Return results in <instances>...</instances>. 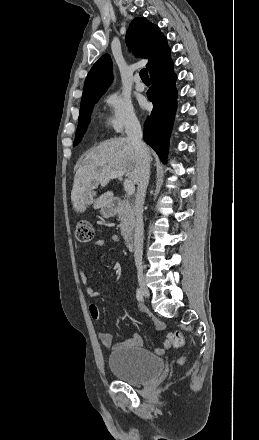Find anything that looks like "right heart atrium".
<instances>
[{
  "label": "right heart atrium",
  "instance_id": "1",
  "mask_svg": "<svg viewBox=\"0 0 259 440\" xmlns=\"http://www.w3.org/2000/svg\"><path fill=\"white\" fill-rule=\"evenodd\" d=\"M105 102L108 107L105 125L108 130L121 134L138 125V118L129 98L121 93L112 92L106 96Z\"/></svg>",
  "mask_w": 259,
  "mask_h": 440
}]
</instances>
